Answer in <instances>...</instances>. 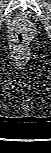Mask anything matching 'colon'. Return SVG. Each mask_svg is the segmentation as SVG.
Returning a JSON list of instances; mask_svg holds the SVG:
<instances>
[{"instance_id":"5ec220e1","label":"colon","mask_w":51,"mask_h":153,"mask_svg":"<svg viewBox=\"0 0 51 153\" xmlns=\"http://www.w3.org/2000/svg\"><path fill=\"white\" fill-rule=\"evenodd\" d=\"M15 42L19 45H25L28 42V36L23 31H18L14 35Z\"/></svg>"}]
</instances>
